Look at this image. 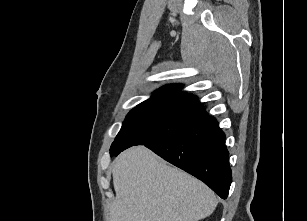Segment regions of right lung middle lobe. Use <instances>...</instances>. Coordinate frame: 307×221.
Returning <instances> with one entry per match:
<instances>
[{
    "label": "right lung middle lobe",
    "instance_id": "obj_1",
    "mask_svg": "<svg viewBox=\"0 0 307 221\" xmlns=\"http://www.w3.org/2000/svg\"><path fill=\"white\" fill-rule=\"evenodd\" d=\"M207 115L199 106L176 102H143L126 116L110 148L118 155L133 145H147L175 136Z\"/></svg>",
    "mask_w": 307,
    "mask_h": 221
}]
</instances>
